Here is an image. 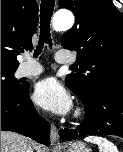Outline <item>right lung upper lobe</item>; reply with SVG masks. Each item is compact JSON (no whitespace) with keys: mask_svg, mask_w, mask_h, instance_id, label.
<instances>
[{"mask_svg":"<svg viewBox=\"0 0 123 152\" xmlns=\"http://www.w3.org/2000/svg\"><path fill=\"white\" fill-rule=\"evenodd\" d=\"M37 24L35 0H1V68H18L17 55L32 47Z\"/></svg>","mask_w":123,"mask_h":152,"instance_id":"1","label":"right lung upper lobe"}]
</instances>
